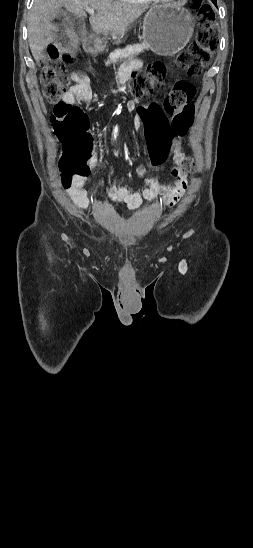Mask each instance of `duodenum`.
<instances>
[{"instance_id": "obj_1", "label": "duodenum", "mask_w": 253, "mask_h": 548, "mask_svg": "<svg viewBox=\"0 0 253 548\" xmlns=\"http://www.w3.org/2000/svg\"><path fill=\"white\" fill-rule=\"evenodd\" d=\"M88 46H89L90 48H93V47H94V43H93L92 41H89V42H88Z\"/></svg>"}]
</instances>
